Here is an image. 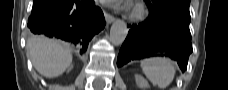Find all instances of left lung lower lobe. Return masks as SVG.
Instances as JSON below:
<instances>
[{
  "label": "left lung lower lobe",
  "mask_w": 228,
  "mask_h": 90,
  "mask_svg": "<svg viewBox=\"0 0 228 90\" xmlns=\"http://www.w3.org/2000/svg\"><path fill=\"white\" fill-rule=\"evenodd\" d=\"M146 4L149 16L138 26H131L120 49L117 66L120 67L130 60L148 57L151 52L165 51L178 62L184 72L192 52L190 12L170 11L154 3Z\"/></svg>",
  "instance_id": "1"
}]
</instances>
